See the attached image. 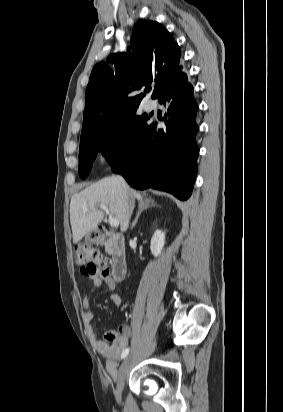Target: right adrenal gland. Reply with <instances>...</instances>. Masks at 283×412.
<instances>
[{
    "label": "right adrenal gland",
    "instance_id": "right-adrenal-gland-1",
    "mask_svg": "<svg viewBox=\"0 0 283 412\" xmlns=\"http://www.w3.org/2000/svg\"><path fill=\"white\" fill-rule=\"evenodd\" d=\"M153 206H156V204L153 201H151V203H150V201H146L144 203H139L138 212H137V215H136V218H135L134 222L132 223L131 228H134L135 225L138 223V219H139L141 213L143 211H145L146 209H148L150 207H153Z\"/></svg>",
    "mask_w": 283,
    "mask_h": 412
}]
</instances>
